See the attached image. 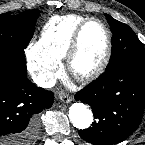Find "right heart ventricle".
<instances>
[{
  "label": "right heart ventricle",
  "mask_w": 145,
  "mask_h": 145,
  "mask_svg": "<svg viewBox=\"0 0 145 145\" xmlns=\"http://www.w3.org/2000/svg\"><path fill=\"white\" fill-rule=\"evenodd\" d=\"M88 17L76 14L54 16L43 26L37 45L39 49L58 59L65 58L77 27Z\"/></svg>",
  "instance_id": "obj_1"
}]
</instances>
